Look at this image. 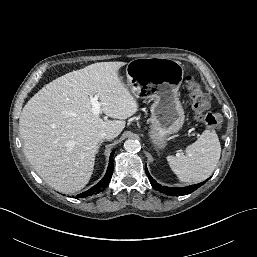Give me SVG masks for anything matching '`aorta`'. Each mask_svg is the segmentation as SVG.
<instances>
[{
	"instance_id": "1",
	"label": "aorta",
	"mask_w": 257,
	"mask_h": 257,
	"mask_svg": "<svg viewBox=\"0 0 257 257\" xmlns=\"http://www.w3.org/2000/svg\"><path fill=\"white\" fill-rule=\"evenodd\" d=\"M124 148L127 152L135 153L140 150L141 146L138 140L128 139L124 143Z\"/></svg>"
}]
</instances>
